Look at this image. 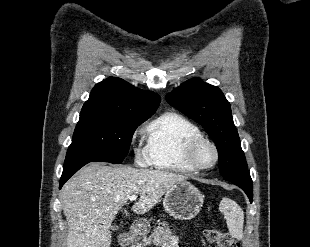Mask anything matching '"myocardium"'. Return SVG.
<instances>
[{"instance_id": "obj_1", "label": "myocardium", "mask_w": 310, "mask_h": 247, "mask_svg": "<svg viewBox=\"0 0 310 247\" xmlns=\"http://www.w3.org/2000/svg\"><path fill=\"white\" fill-rule=\"evenodd\" d=\"M202 144H208L214 151V161L210 165L202 166L198 164L195 160V153L198 147ZM184 158L187 164L194 170V171H205L213 168L219 160V150L216 144L207 137L204 136H196L190 139L184 150Z\"/></svg>"}]
</instances>
